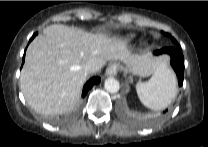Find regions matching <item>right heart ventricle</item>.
I'll list each match as a JSON object with an SVG mask.
<instances>
[{"label":"right heart ventricle","mask_w":208,"mask_h":147,"mask_svg":"<svg viewBox=\"0 0 208 147\" xmlns=\"http://www.w3.org/2000/svg\"><path fill=\"white\" fill-rule=\"evenodd\" d=\"M134 39H135V35H127V36L125 37V40H126L127 42H132Z\"/></svg>","instance_id":"right-heart-ventricle-1"}]
</instances>
